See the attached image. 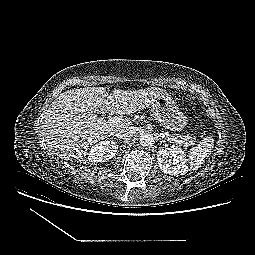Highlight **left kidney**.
Masks as SVG:
<instances>
[{"label": "left kidney", "instance_id": "left-kidney-1", "mask_svg": "<svg viewBox=\"0 0 255 255\" xmlns=\"http://www.w3.org/2000/svg\"><path fill=\"white\" fill-rule=\"evenodd\" d=\"M159 168L166 174L179 176L188 171L185 152L181 148H165L157 152Z\"/></svg>", "mask_w": 255, "mask_h": 255}]
</instances>
